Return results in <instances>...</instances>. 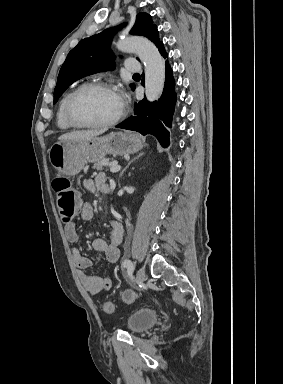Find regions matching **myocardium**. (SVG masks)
<instances>
[{"label":"myocardium","instance_id":"1","mask_svg":"<svg viewBox=\"0 0 283 384\" xmlns=\"http://www.w3.org/2000/svg\"><path fill=\"white\" fill-rule=\"evenodd\" d=\"M92 90H107L111 91L114 93L113 87L104 82H93V83H88L84 84L80 87H78L68 98L66 105H65V119L69 126H71L74 129H80V130H100V129H107L119 122V120L123 116V108L120 106L118 113L113 117L111 120L103 122V123H97V124H79L75 121L73 117V105L76 101V99L83 93L87 91H92Z\"/></svg>","mask_w":283,"mask_h":384}]
</instances>
